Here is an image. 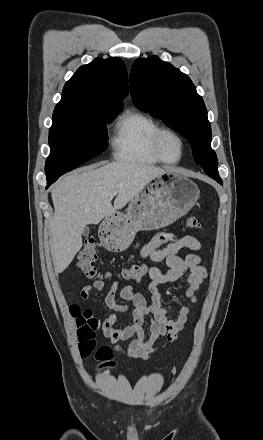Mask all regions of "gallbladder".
<instances>
[{
    "mask_svg": "<svg viewBox=\"0 0 263 440\" xmlns=\"http://www.w3.org/2000/svg\"><path fill=\"white\" fill-rule=\"evenodd\" d=\"M89 234V228L88 227H85L84 229H83V231H82V235L83 236H87Z\"/></svg>",
    "mask_w": 263,
    "mask_h": 440,
    "instance_id": "1",
    "label": "gallbladder"
}]
</instances>
